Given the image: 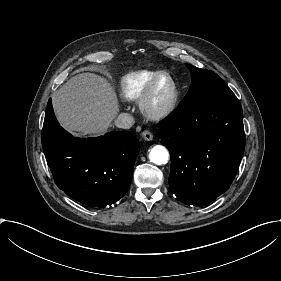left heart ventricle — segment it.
Here are the masks:
<instances>
[{
    "mask_svg": "<svg viewBox=\"0 0 281 281\" xmlns=\"http://www.w3.org/2000/svg\"><path fill=\"white\" fill-rule=\"evenodd\" d=\"M172 93V85L168 79L161 81L154 94V103L156 106L160 107L165 105L170 99Z\"/></svg>",
    "mask_w": 281,
    "mask_h": 281,
    "instance_id": "1",
    "label": "left heart ventricle"
}]
</instances>
